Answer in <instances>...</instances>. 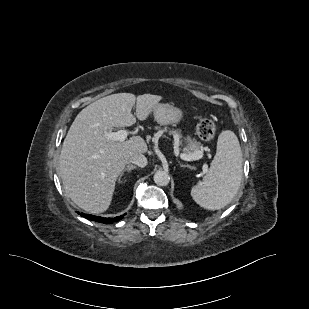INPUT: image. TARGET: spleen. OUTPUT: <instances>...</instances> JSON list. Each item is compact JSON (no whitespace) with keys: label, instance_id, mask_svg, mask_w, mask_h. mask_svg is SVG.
Masks as SVG:
<instances>
[{"label":"spleen","instance_id":"1","mask_svg":"<svg viewBox=\"0 0 309 309\" xmlns=\"http://www.w3.org/2000/svg\"><path fill=\"white\" fill-rule=\"evenodd\" d=\"M243 172V158L237 136L230 130L222 131L217 151L208 173L191 190V196L201 207L219 210L237 194Z\"/></svg>","mask_w":309,"mask_h":309}]
</instances>
